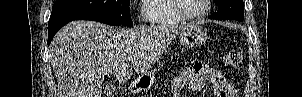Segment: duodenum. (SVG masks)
Masks as SVG:
<instances>
[{
    "label": "duodenum",
    "mask_w": 302,
    "mask_h": 97,
    "mask_svg": "<svg viewBox=\"0 0 302 97\" xmlns=\"http://www.w3.org/2000/svg\"><path fill=\"white\" fill-rule=\"evenodd\" d=\"M142 87H143V82L140 79H137L130 84L129 90L132 93H137L142 89Z\"/></svg>",
    "instance_id": "duodenum-1"
}]
</instances>
